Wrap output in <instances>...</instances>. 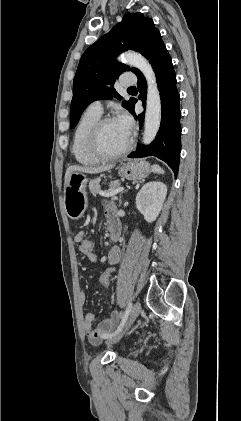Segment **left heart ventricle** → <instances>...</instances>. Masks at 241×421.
<instances>
[{
	"label": "left heart ventricle",
	"mask_w": 241,
	"mask_h": 421,
	"mask_svg": "<svg viewBox=\"0 0 241 421\" xmlns=\"http://www.w3.org/2000/svg\"><path fill=\"white\" fill-rule=\"evenodd\" d=\"M129 140V136L116 121L104 126L101 132L100 144L107 153H115L122 150Z\"/></svg>",
	"instance_id": "1"
}]
</instances>
